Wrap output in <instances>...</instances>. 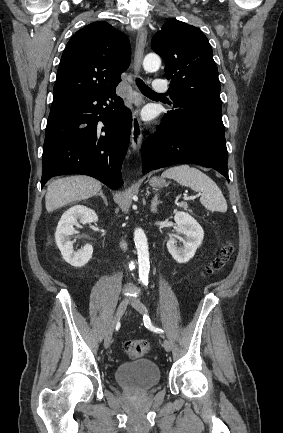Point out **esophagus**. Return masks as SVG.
I'll return each instance as SVG.
<instances>
[{
  "label": "esophagus",
  "mask_w": 283,
  "mask_h": 433,
  "mask_svg": "<svg viewBox=\"0 0 283 433\" xmlns=\"http://www.w3.org/2000/svg\"><path fill=\"white\" fill-rule=\"evenodd\" d=\"M147 41V30L140 29L137 32L136 44H135V53H134V72L138 74L141 69L143 57H144V49ZM142 127L141 122L138 116V110H133L132 114V129H131V144L134 150H138L142 142Z\"/></svg>",
  "instance_id": "esophagus-1"
}]
</instances>
